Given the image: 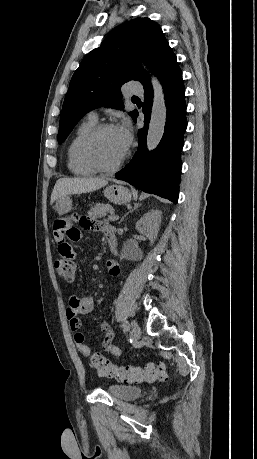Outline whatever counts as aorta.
<instances>
[{"label": "aorta", "mask_w": 257, "mask_h": 459, "mask_svg": "<svg viewBox=\"0 0 257 459\" xmlns=\"http://www.w3.org/2000/svg\"><path fill=\"white\" fill-rule=\"evenodd\" d=\"M151 81L154 90V99L146 140L149 150L155 149L163 137L167 112L160 82L154 76L151 77Z\"/></svg>", "instance_id": "obj_1"}]
</instances>
